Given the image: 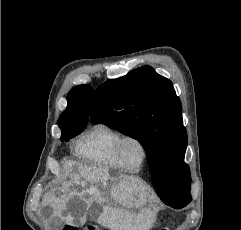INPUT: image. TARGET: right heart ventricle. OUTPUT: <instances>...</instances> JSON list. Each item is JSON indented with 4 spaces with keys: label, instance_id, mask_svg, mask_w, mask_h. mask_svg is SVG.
<instances>
[{
    "label": "right heart ventricle",
    "instance_id": "obj_1",
    "mask_svg": "<svg viewBox=\"0 0 241 230\" xmlns=\"http://www.w3.org/2000/svg\"><path fill=\"white\" fill-rule=\"evenodd\" d=\"M121 136L112 126L97 123L81 136L76 152L86 162L123 169L115 154L116 144Z\"/></svg>",
    "mask_w": 241,
    "mask_h": 230
}]
</instances>
